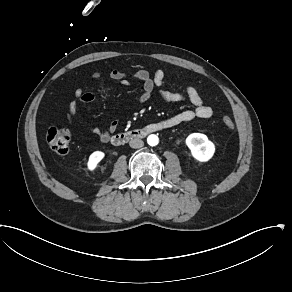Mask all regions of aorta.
Instances as JSON below:
<instances>
[{
	"label": "aorta",
	"mask_w": 292,
	"mask_h": 292,
	"mask_svg": "<svg viewBox=\"0 0 292 292\" xmlns=\"http://www.w3.org/2000/svg\"><path fill=\"white\" fill-rule=\"evenodd\" d=\"M147 142H148L149 145L155 146V145L158 144L159 139H158V137L156 135L152 134V135L148 136Z\"/></svg>",
	"instance_id": "obj_1"
}]
</instances>
